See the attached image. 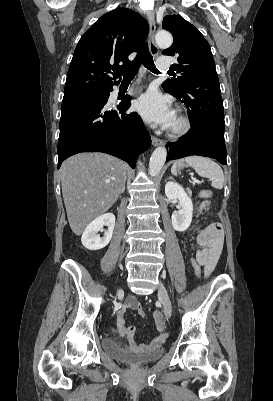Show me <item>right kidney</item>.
<instances>
[{
  "instance_id": "obj_1",
  "label": "right kidney",
  "mask_w": 273,
  "mask_h": 401,
  "mask_svg": "<svg viewBox=\"0 0 273 401\" xmlns=\"http://www.w3.org/2000/svg\"><path fill=\"white\" fill-rule=\"evenodd\" d=\"M103 227H108L104 233V237L97 235L98 231H102ZM115 227V215L113 213H105L101 217L94 219L88 227H86L82 237L81 243L86 249L90 251H98V249H104L108 243H110L113 235V229Z\"/></svg>"
}]
</instances>
